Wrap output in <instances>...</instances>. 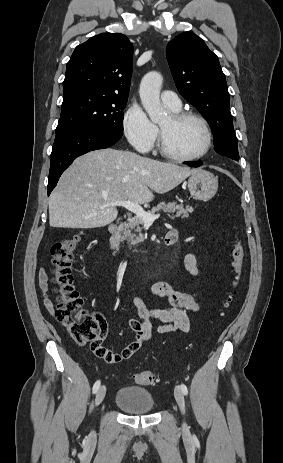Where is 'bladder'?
Masks as SVG:
<instances>
[{
    "label": "bladder",
    "mask_w": 283,
    "mask_h": 463,
    "mask_svg": "<svg viewBox=\"0 0 283 463\" xmlns=\"http://www.w3.org/2000/svg\"><path fill=\"white\" fill-rule=\"evenodd\" d=\"M114 402L127 414H147L153 412L156 407L150 391L137 386L121 387L116 393Z\"/></svg>",
    "instance_id": "1"
}]
</instances>
